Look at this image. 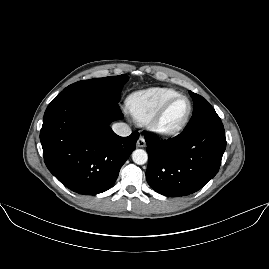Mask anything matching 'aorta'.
Returning a JSON list of instances; mask_svg holds the SVG:
<instances>
[{"instance_id":"aorta-1","label":"aorta","mask_w":269,"mask_h":269,"mask_svg":"<svg viewBox=\"0 0 269 269\" xmlns=\"http://www.w3.org/2000/svg\"><path fill=\"white\" fill-rule=\"evenodd\" d=\"M133 161L138 165H143L147 162L148 155L143 149H136L132 153Z\"/></svg>"}]
</instances>
